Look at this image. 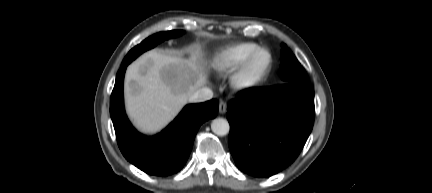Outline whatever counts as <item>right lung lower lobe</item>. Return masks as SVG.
Instances as JSON below:
<instances>
[{
  "label": "right lung lower lobe",
  "instance_id": "right-lung-lower-lobe-1",
  "mask_svg": "<svg viewBox=\"0 0 432 193\" xmlns=\"http://www.w3.org/2000/svg\"><path fill=\"white\" fill-rule=\"evenodd\" d=\"M127 65H121L111 94L110 115L118 146L129 162L147 174L176 173L186 163L200 125L216 117L218 101L187 105L161 133L144 136L133 128L124 110L123 80Z\"/></svg>",
  "mask_w": 432,
  "mask_h": 193
}]
</instances>
